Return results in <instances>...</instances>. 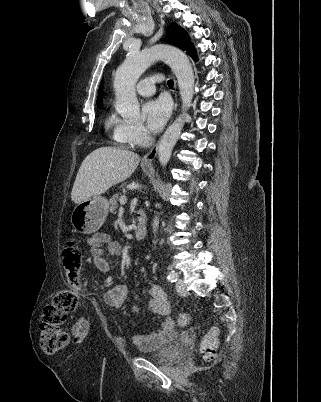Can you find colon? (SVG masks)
<instances>
[{
    "label": "colon",
    "instance_id": "5ec220e1",
    "mask_svg": "<svg viewBox=\"0 0 321 402\" xmlns=\"http://www.w3.org/2000/svg\"><path fill=\"white\" fill-rule=\"evenodd\" d=\"M63 263L70 288L58 291L46 306L40 325V344L46 353H55L64 349L69 343V335L63 328L68 317L78 307V295L84 289L81 283V250L75 239H69L64 246ZM177 325L184 327L188 324V316L178 313ZM218 348V331L213 328L201 341L200 351L204 359H215Z\"/></svg>",
    "mask_w": 321,
    "mask_h": 402
}]
</instances>
